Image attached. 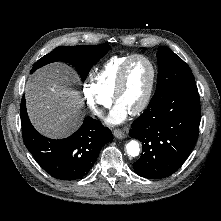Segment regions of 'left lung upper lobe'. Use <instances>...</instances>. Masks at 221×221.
I'll use <instances>...</instances> for the list:
<instances>
[{
    "label": "left lung upper lobe",
    "mask_w": 221,
    "mask_h": 221,
    "mask_svg": "<svg viewBox=\"0 0 221 221\" xmlns=\"http://www.w3.org/2000/svg\"><path fill=\"white\" fill-rule=\"evenodd\" d=\"M157 60L158 82L151 101L159 100L178 88L196 84L189 66L171 49L159 47Z\"/></svg>",
    "instance_id": "left-lung-upper-lobe-1"
}]
</instances>
